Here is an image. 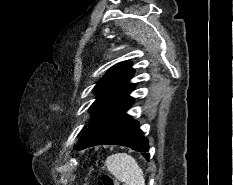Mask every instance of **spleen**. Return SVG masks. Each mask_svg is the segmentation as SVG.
Wrapping results in <instances>:
<instances>
[{
  "instance_id": "3e777b00",
  "label": "spleen",
  "mask_w": 233,
  "mask_h": 185,
  "mask_svg": "<svg viewBox=\"0 0 233 185\" xmlns=\"http://www.w3.org/2000/svg\"><path fill=\"white\" fill-rule=\"evenodd\" d=\"M107 170L125 185H145L144 173L136 160L127 153H116L107 157Z\"/></svg>"
}]
</instances>
